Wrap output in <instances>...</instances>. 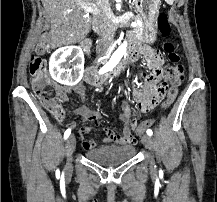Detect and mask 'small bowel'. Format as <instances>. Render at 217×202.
Instances as JSON below:
<instances>
[{
  "instance_id": "c3829d8e",
  "label": "small bowel",
  "mask_w": 217,
  "mask_h": 202,
  "mask_svg": "<svg viewBox=\"0 0 217 202\" xmlns=\"http://www.w3.org/2000/svg\"><path fill=\"white\" fill-rule=\"evenodd\" d=\"M140 48L138 53L143 56L148 66L154 69L153 73L149 76H145L143 73L139 75L141 79L144 80L145 88L148 91V95H162L161 91L154 89L155 79L157 78L158 70L162 64V59L159 53L156 50L151 49L148 46H143L140 43L137 44ZM73 90L82 98L84 99L86 96V91L83 85L79 84L76 85ZM59 95H64V100H60L61 102L66 101V94L64 88H59ZM135 100L138 103L139 109L143 112L147 111L148 108L145 106H149V101H144V106L140 105V97L139 94L134 91L133 93ZM74 113L86 122H94L98 123L102 117V113L98 110L92 109L87 105H81L74 110ZM66 113L61 110L60 116H55V121L62 122L65 119ZM120 120L123 122V129L121 133H116L111 128L101 127V132H105L106 136L104 138V143L106 144H114V145H121V146H129L134 145L137 142L136 135L142 134L144 131H132V126H148L146 122L141 123L138 125L136 119H131V102L130 101H123L120 106ZM70 128L76 127V123H71L69 125ZM135 132V133H134ZM82 136H89V128L83 127L80 130ZM83 147H96V142H83ZM89 148V149H91Z\"/></svg>"
}]
</instances>
